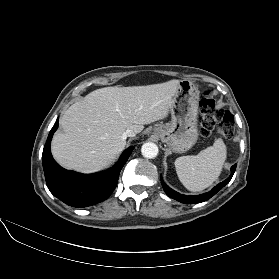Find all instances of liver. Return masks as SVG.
I'll return each instance as SVG.
<instances>
[{"mask_svg": "<svg viewBox=\"0 0 279 279\" xmlns=\"http://www.w3.org/2000/svg\"><path fill=\"white\" fill-rule=\"evenodd\" d=\"M179 80L161 84L97 89L71 105L60 120L51 151L67 169L94 173L107 167L125 148L126 131L168 116Z\"/></svg>", "mask_w": 279, "mask_h": 279, "instance_id": "6515ba94", "label": "liver"}]
</instances>
